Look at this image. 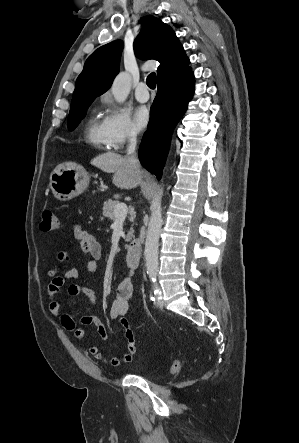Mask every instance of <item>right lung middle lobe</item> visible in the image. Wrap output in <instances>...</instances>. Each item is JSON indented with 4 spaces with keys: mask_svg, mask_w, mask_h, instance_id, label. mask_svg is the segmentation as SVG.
Listing matches in <instances>:
<instances>
[{
    "mask_svg": "<svg viewBox=\"0 0 299 443\" xmlns=\"http://www.w3.org/2000/svg\"><path fill=\"white\" fill-rule=\"evenodd\" d=\"M93 101L85 102L70 109L68 116V128L74 130L79 122L83 119L84 114Z\"/></svg>",
    "mask_w": 299,
    "mask_h": 443,
    "instance_id": "dd1d6c3e",
    "label": "right lung middle lobe"
}]
</instances>
